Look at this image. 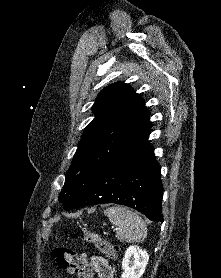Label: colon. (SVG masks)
Listing matches in <instances>:
<instances>
[{"label": "colon", "instance_id": "1", "mask_svg": "<svg viewBox=\"0 0 221 278\" xmlns=\"http://www.w3.org/2000/svg\"><path fill=\"white\" fill-rule=\"evenodd\" d=\"M81 238L89 245L100 249L111 258H115L118 248L110 242L105 241L95 232L84 230ZM52 258L58 267L67 270L71 274H76L82 278H90L88 266L84 261L83 255L76 250L67 247H55L52 251Z\"/></svg>", "mask_w": 221, "mask_h": 278}]
</instances>
